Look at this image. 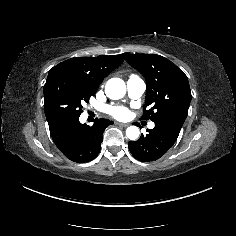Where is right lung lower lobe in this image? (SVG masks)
Instances as JSON below:
<instances>
[{
    "label": "right lung lower lobe",
    "instance_id": "1",
    "mask_svg": "<svg viewBox=\"0 0 236 236\" xmlns=\"http://www.w3.org/2000/svg\"><path fill=\"white\" fill-rule=\"evenodd\" d=\"M113 124L108 119H95L92 126L81 124L79 117L49 127L57 148L71 161L84 163L93 160L100 152L102 133Z\"/></svg>",
    "mask_w": 236,
    "mask_h": 236
}]
</instances>
